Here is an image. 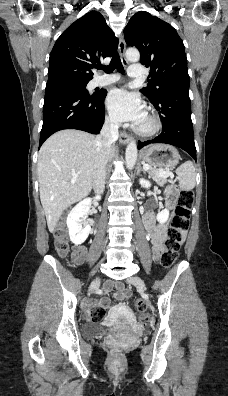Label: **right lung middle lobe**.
Masks as SVG:
<instances>
[{"instance_id": "obj_1", "label": "right lung middle lobe", "mask_w": 228, "mask_h": 396, "mask_svg": "<svg viewBox=\"0 0 228 396\" xmlns=\"http://www.w3.org/2000/svg\"><path fill=\"white\" fill-rule=\"evenodd\" d=\"M87 83L88 82H70V83H63V84H60L57 86L73 88V89L83 93L86 96L94 95L95 93L89 94V92L87 91V89H86Z\"/></svg>"}]
</instances>
